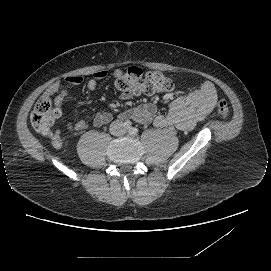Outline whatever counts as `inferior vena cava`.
<instances>
[{"instance_id": "inferior-vena-cava-1", "label": "inferior vena cava", "mask_w": 271, "mask_h": 271, "mask_svg": "<svg viewBox=\"0 0 271 271\" xmlns=\"http://www.w3.org/2000/svg\"><path fill=\"white\" fill-rule=\"evenodd\" d=\"M110 131L113 135L115 136H120L124 133L125 131V126L122 122L120 121H115L111 124L110 126Z\"/></svg>"}]
</instances>
